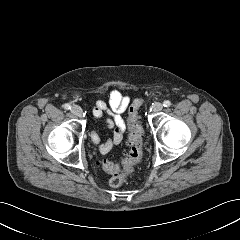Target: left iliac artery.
Returning <instances> with one entry per match:
<instances>
[{
    "mask_svg": "<svg viewBox=\"0 0 240 240\" xmlns=\"http://www.w3.org/2000/svg\"><path fill=\"white\" fill-rule=\"evenodd\" d=\"M163 106H164V107H170V106H171V102H170L169 100H165V101L163 102Z\"/></svg>",
    "mask_w": 240,
    "mask_h": 240,
    "instance_id": "obj_1",
    "label": "left iliac artery"
}]
</instances>
